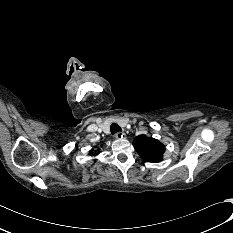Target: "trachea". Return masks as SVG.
<instances>
[{
    "instance_id": "1",
    "label": "trachea",
    "mask_w": 233,
    "mask_h": 233,
    "mask_svg": "<svg viewBox=\"0 0 233 233\" xmlns=\"http://www.w3.org/2000/svg\"><path fill=\"white\" fill-rule=\"evenodd\" d=\"M110 131H111L112 134H114V133L122 131V129L120 128V126L118 124L113 123L110 126Z\"/></svg>"
}]
</instances>
